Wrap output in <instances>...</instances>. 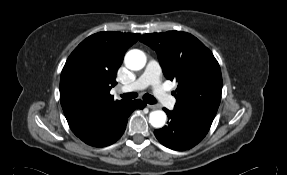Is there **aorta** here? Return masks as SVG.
I'll return each instance as SVG.
<instances>
[{"mask_svg": "<svg viewBox=\"0 0 287 175\" xmlns=\"http://www.w3.org/2000/svg\"><path fill=\"white\" fill-rule=\"evenodd\" d=\"M124 62L126 67L131 70H141L146 64V56L141 50L133 49L125 55ZM166 118L164 111L155 110L149 115V123L154 128H162L165 125Z\"/></svg>", "mask_w": 287, "mask_h": 175, "instance_id": "aorta-1", "label": "aorta"}]
</instances>
